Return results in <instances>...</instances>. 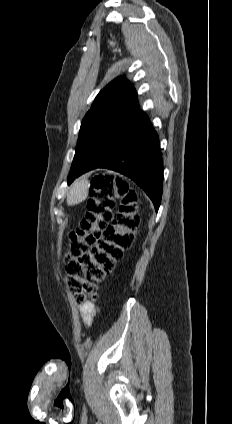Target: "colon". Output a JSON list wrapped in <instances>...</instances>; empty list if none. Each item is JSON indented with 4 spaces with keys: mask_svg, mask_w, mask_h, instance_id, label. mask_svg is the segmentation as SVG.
<instances>
[{
    "mask_svg": "<svg viewBox=\"0 0 232 424\" xmlns=\"http://www.w3.org/2000/svg\"><path fill=\"white\" fill-rule=\"evenodd\" d=\"M115 200L118 212L113 214ZM140 222L138 194L129 184L108 174L95 176L80 227L71 235L65 257L66 285L84 307L133 241Z\"/></svg>",
    "mask_w": 232,
    "mask_h": 424,
    "instance_id": "5ec220e1",
    "label": "colon"
}]
</instances>
